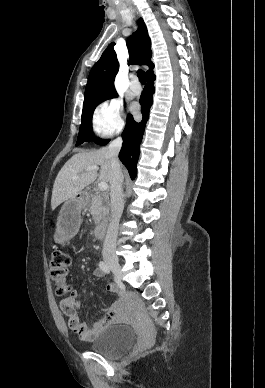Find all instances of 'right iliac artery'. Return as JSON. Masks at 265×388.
<instances>
[{"mask_svg": "<svg viewBox=\"0 0 265 388\" xmlns=\"http://www.w3.org/2000/svg\"><path fill=\"white\" fill-rule=\"evenodd\" d=\"M99 267H100V269H101L104 273H106V274H109V273H110V268L108 267V265H107L105 262L101 261V262L99 263Z\"/></svg>", "mask_w": 265, "mask_h": 388, "instance_id": "82829eb1", "label": "right iliac artery"}]
</instances>
